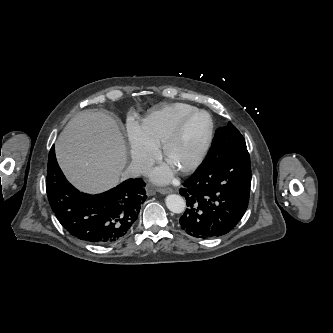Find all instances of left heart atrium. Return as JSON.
<instances>
[{
	"label": "left heart atrium",
	"mask_w": 333,
	"mask_h": 333,
	"mask_svg": "<svg viewBox=\"0 0 333 333\" xmlns=\"http://www.w3.org/2000/svg\"><path fill=\"white\" fill-rule=\"evenodd\" d=\"M172 175L169 166H162L152 172V179L157 183H166L170 180Z\"/></svg>",
	"instance_id": "left-heart-atrium-1"
}]
</instances>
